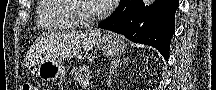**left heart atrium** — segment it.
<instances>
[{
	"instance_id": "1",
	"label": "left heart atrium",
	"mask_w": 216,
	"mask_h": 90,
	"mask_svg": "<svg viewBox=\"0 0 216 90\" xmlns=\"http://www.w3.org/2000/svg\"><path fill=\"white\" fill-rule=\"evenodd\" d=\"M121 0H97V3H105L106 7H115L116 3H120Z\"/></svg>"
}]
</instances>
